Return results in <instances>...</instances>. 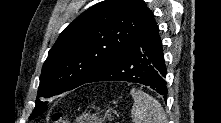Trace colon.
<instances>
[{"mask_svg": "<svg viewBox=\"0 0 221 123\" xmlns=\"http://www.w3.org/2000/svg\"><path fill=\"white\" fill-rule=\"evenodd\" d=\"M53 121L55 123H67L66 118L60 113H57V114L54 115Z\"/></svg>", "mask_w": 221, "mask_h": 123, "instance_id": "5ec220e1", "label": "colon"}]
</instances>
